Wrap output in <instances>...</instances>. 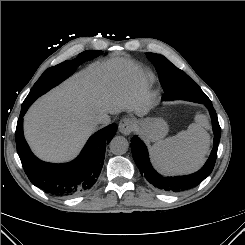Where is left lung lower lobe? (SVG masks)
Listing matches in <instances>:
<instances>
[{"instance_id":"1","label":"left lung lower lobe","mask_w":245,"mask_h":245,"mask_svg":"<svg viewBox=\"0 0 245 245\" xmlns=\"http://www.w3.org/2000/svg\"><path fill=\"white\" fill-rule=\"evenodd\" d=\"M162 99L165 101L182 99L204 104L208 108L212 120L214 143L211 154L205 165L199 171L188 176H161L152 167L149 160L147 147L143 141L138 138V136H134L131 140V151L133 159L139 168L141 175L146 177L149 183H151L155 188L169 193H177L197 186L211 174L216 162L218 144L221 137V128L218 122L216 111L213 108L210 99L206 96L200 87L191 88L183 92H176L174 94L163 95Z\"/></svg>"}]
</instances>
